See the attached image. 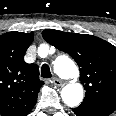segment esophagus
<instances>
[{
  "instance_id": "34e87169",
  "label": "esophagus",
  "mask_w": 116,
  "mask_h": 116,
  "mask_svg": "<svg viewBox=\"0 0 116 116\" xmlns=\"http://www.w3.org/2000/svg\"><path fill=\"white\" fill-rule=\"evenodd\" d=\"M51 83L55 86H62L63 85V82L62 80H60L59 78L57 77H54L51 79Z\"/></svg>"
}]
</instances>
